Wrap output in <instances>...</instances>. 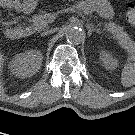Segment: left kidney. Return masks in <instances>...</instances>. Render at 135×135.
Returning <instances> with one entry per match:
<instances>
[{
    "label": "left kidney",
    "instance_id": "obj_1",
    "mask_svg": "<svg viewBox=\"0 0 135 135\" xmlns=\"http://www.w3.org/2000/svg\"><path fill=\"white\" fill-rule=\"evenodd\" d=\"M100 60L106 69L114 70L118 66V60L107 51L100 52Z\"/></svg>",
    "mask_w": 135,
    "mask_h": 135
}]
</instances>
